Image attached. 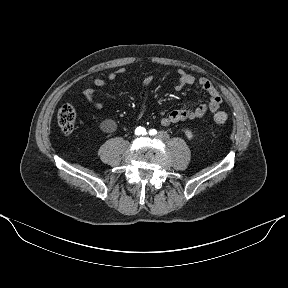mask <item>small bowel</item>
<instances>
[{
	"instance_id": "1",
	"label": "small bowel",
	"mask_w": 288,
	"mask_h": 288,
	"mask_svg": "<svg viewBox=\"0 0 288 288\" xmlns=\"http://www.w3.org/2000/svg\"><path fill=\"white\" fill-rule=\"evenodd\" d=\"M124 69H118L114 72H111L108 75L109 81L116 80L119 76L124 75ZM178 81L175 85L176 90H181L185 86L193 85L197 83L208 95H209V102L199 103L194 108H186V109H176L171 112H161L160 113V123L163 126H169L173 123L181 122V121H193L196 119L202 118L207 112H216L220 108L222 103V96L217 88L212 84L210 80L207 78H199L198 80L194 75L187 72L184 69H179L177 71ZM151 81V77H146L143 81V86H147ZM94 86L96 87H103L106 84V81L103 78H95L93 81ZM83 94L88 101V103L96 108L101 109L103 108V103L98 101L95 98V91L93 87H87ZM145 100H146V91L142 92L141 96V104L137 114V119H140L145 111Z\"/></svg>"
}]
</instances>
